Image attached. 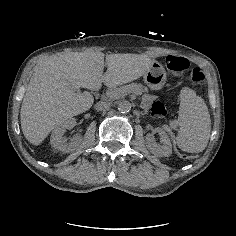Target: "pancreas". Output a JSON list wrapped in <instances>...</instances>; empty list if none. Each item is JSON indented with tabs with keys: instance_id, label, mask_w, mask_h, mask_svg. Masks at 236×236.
Returning <instances> with one entry per match:
<instances>
[{
	"instance_id": "cf45deb5",
	"label": "pancreas",
	"mask_w": 236,
	"mask_h": 236,
	"mask_svg": "<svg viewBox=\"0 0 236 236\" xmlns=\"http://www.w3.org/2000/svg\"><path fill=\"white\" fill-rule=\"evenodd\" d=\"M147 91L148 88L138 82L126 83L119 86L118 88L107 90L106 94L104 95V100L113 101L125 95L132 93L140 94Z\"/></svg>"
}]
</instances>
